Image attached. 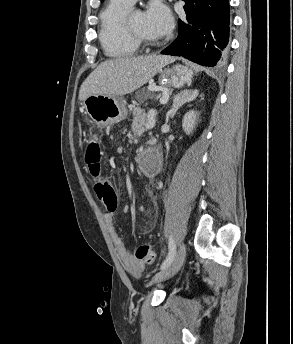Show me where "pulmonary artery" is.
Returning a JSON list of instances; mask_svg holds the SVG:
<instances>
[{"label": "pulmonary artery", "mask_w": 293, "mask_h": 344, "mask_svg": "<svg viewBox=\"0 0 293 344\" xmlns=\"http://www.w3.org/2000/svg\"><path fill=\"white\" fill-rule=\"evenodd\" d=\"M114 1L119 2V3L133 5L137 0H114Z\"/></svg>", "instance_id": "obj_1"}]
</instances>
